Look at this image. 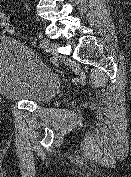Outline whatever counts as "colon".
Returning <instances> with one entry per match:
<instances>
[{
	"label": "colon",
	"instance_id": "5ec220e1",
	"mask_svg": "<svg viewBox=\"0 0 131 177\" xmlns=\"http://www.w3.org/2000/svg\"><path fill=\"white\" fill-rule=\"evenodd\" d=\"M12 32V26L9 18L0 8V34L7 35Z\"/></svg>",
	"mask_w": 131,
	"mask_h": 177
}]
</instances>
